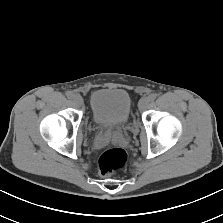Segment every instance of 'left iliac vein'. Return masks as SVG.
Listing matches in <instances>:
<instances>
[{
	"label": "left iliac vein",
	"instance_id": "4c4485c4",
	"mask_svg": "<svg viewBox=\"0 0 223 223\" xmlns=\"http://www.w3.org/2000/svg\"><path fill=\"white\" fill-rule=\"evenodd\" d=\"M149 104V98L148 97H142L138 103V108L140 111H143L146 109V107Z\"/></svg>",
	"mask_w": 223,
	"mask_h": 223
}]
</instances>
